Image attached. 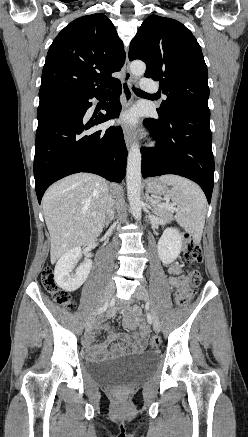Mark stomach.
Masks as SVG:
<instances>
[{"label": "stomach", "instance_id": "obj_1", "mask_svg": "<svg viewBox=\"0 0 248 437\" xmlns=\"http://www.w3.org/2000/svg\"><path fill=\"white\" fill-rule=\"evenodd\" d=\"M147 193H150L157 200H165L169 194V189L166 183L158 178L148 180L146 185Z\"/></svg>", "mask_w": 248, "mask_h": 437}]
</instances>
